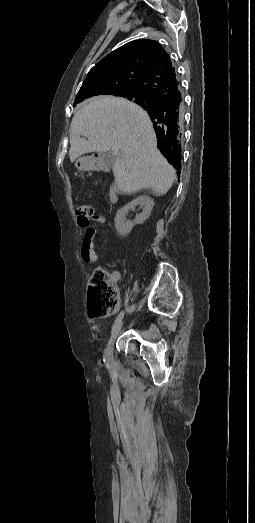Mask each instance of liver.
I'll return each mask as SVG.
<instances>
[{"label": "liver", "instance_id": "1", "mask_svg": "<svg viewBox=\"0 0 255 523\" xmlns=\"http://www.w3.org/2000/svg\"><path fill=\"white\" fill-rule=\"evenodd\" d=\"M70 144V162L89 152L118 156L113 174L117 188L125 194L151 188L157 196H163L175 180L174 168L157 148L147 112L124 98L98 96L86 100L71 122Z\"/></svg>", "mask_w": 255, "mask_h": 523}]
</instances>
